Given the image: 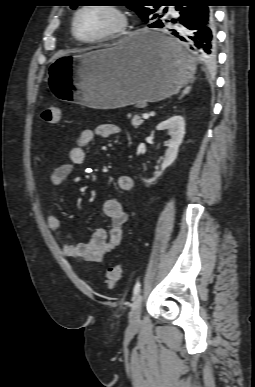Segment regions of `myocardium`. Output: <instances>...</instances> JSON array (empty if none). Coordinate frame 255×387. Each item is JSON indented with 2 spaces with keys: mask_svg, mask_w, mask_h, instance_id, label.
I'll use <instances>...</instances> for the list:
<instances>
[{
  "mask_svg": "<svg viewBox=\"0 0 255 387\" xmlns=\"http://www.w3.org/2000/svg\"><path fill=\"white\" fill-rule=\"evenodd\" d=\"M90 8H99L103 10H107L115 15L117 19V24L108 32L94 37V38H83L79 35L77 31V19L79 15ZM129 26V18L127 13L117 5H109V4H88L82 5L76 9L72 17L71 29L73 36L82 43L85 44H99L117 40L124 36L127 33Z\"/></svg>",
  "mask_w": 255,
  "mask_h": 387,
  "instance_id": "1",
  "label": "myocardium"
}]
</instances>
